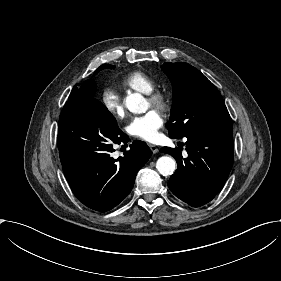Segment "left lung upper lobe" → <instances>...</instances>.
<instances>
[{
    "instance_id": "obj_1",
    "label": "left lung upper lobe",
    "mask_w": 281,
    "mask_h": 281,
    "mask_svg": "<svg viewBox=\"0 0 281 281\" xmlns=\"http://www.w3.org/2000/svg\"><path fill=\"white\" fill-rule=\"evenodd\" d=\"M162 70L173 86V104L167 124L170 137L232 129L220 93L198 69L184 62H165Z\"/></svg>"
}]
</instances>
